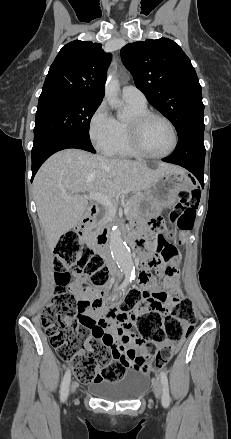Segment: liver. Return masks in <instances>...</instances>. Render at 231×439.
Returning a JSON list of instances; mask_svg holds the SVG:
<instances>
[{"label": "liver", "mask_w": 231, "mask_h": 439, "mask_svg": "<svg viewBox=\"0 0 231 439\" xmlns=\"http://www.w3.org/2000/svg\"><path fill=\"white\" fill-rule=\"evenodd\" d=\"M175 165L159 162L151 169L145 162L107 158L79 149L52 155L37 172L33 187L37 213L52 251L87 208L83 192L101 191L108 198L123 191H146L161 176L180 172Z\"/></svg>", "instance_id": "liver-1"}]
</instances>
